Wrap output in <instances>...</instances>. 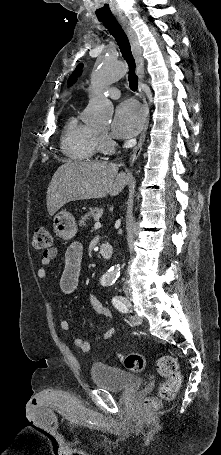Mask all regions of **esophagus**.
<instances>
[{
    "mask_svg": "<svg viewBox=\"0 0 221 455\" xmlns=\"http://www.w3.org/2000/svg\"><path fill=\"white\" fill-rule=\"evenodd\" d=\"M117 20L121 24L125 33L127 34L130 44H131L132 54H133L135 62H136L137 76L140 81L138 91H139V95H140V98L142 100V103H143V106L145 109L144 127H143L142 133L139 137L138 144L131 157V164H133L137 160L138 156L140 155V153L142 151V147H143V144H144V141L146 138V133H147L148 124H149V105L146 100V96L144 94V90L142 87V81L144 79V59L142 57V50L139 46L137 35H136L134 29L131 27L129 21L123 15H118Z\"/></svg>",
    "mask_w": 221,
    "mask_h": 455,
    "instance_id": "obj_1",
    "label": "esophagus"
}]
</instances>
